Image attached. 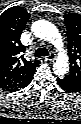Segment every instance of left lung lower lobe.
I'll use <instances>...</instances> for the list:
<instances>
[{
    "instance_id": "obj_1",
    "label": "left lung lower lobe",
    "mask_w": 81,
    "mask_h": 124,
    "mask_svg": "<svg viewBox=\"0 0 81 124\" xmlns=\"http://www.w3.org/2000/svg\"><path fill=\"white\" fill-rule=\"evenodd\" d=\"M57 84L65 91L67 92H72V93H76V92H80L81 91V86L76 85L75 83H73L72 81L68 80L67 78H57L56 79Z\"/></svg>"
}]
</instances>
